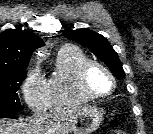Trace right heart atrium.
Masks as SVG:
<instances>
[{"mask_svg": "<svg viewBox=\"0 0 153 134\" xmlns=\"http://www.w3.org/2000/svg\"><path fill=\"white\" fill-rule=\"evenodd\" d=\"M22 95L27 106L35 113L47 108L46 81L38 67H33L27 73L21 87Z\"/></svg>", "mask_w": 153, "mask_h": 134, "instance_id": "obj_1", "label": "right heart atrium"}]
</instances>
